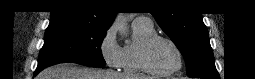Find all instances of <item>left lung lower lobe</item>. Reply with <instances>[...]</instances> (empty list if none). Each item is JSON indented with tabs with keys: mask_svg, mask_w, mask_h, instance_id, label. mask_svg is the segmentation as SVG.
Wrapping results in <instances>:
<instances>
[{
	"mask_svg": "<svg viewBox=\"0 0 255 79\" xmlns=\"http://www.w3.org/2000/svg\"><path fill=\"white\" fill-rule=\"evenodd\" d=\"M206 79H219V75L217 76H207V77H204Z\"/></svg>",
	"mask_w": 255,
	"mask_h": 79,
	"instance_id": "1",
	"label": "left lung lower lobe"
}]
</instances>
